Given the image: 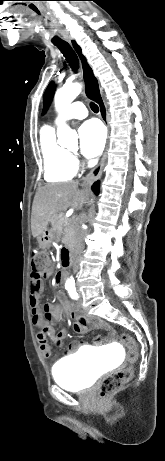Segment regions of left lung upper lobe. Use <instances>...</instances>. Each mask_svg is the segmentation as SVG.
<instances>
[{"label": "left lung upper lobe", "mask_w": 165, "mask_h": 461, "mask_svg": "<svg viewBox=\"0 0 165 461\" xmlns=\"http://www.w3.org/2000/svg\"><path fill=\"white\" fill-rule=\"evenodd\" d=\"M53 91H54V85L53 83H50L49 86L47 87L44 97H43V106L45 110L48 108L49 103L52 99L53 96Z\"/></svg>", "instance_id": "left-lung-upper-lobe-1"}]
</instances>
